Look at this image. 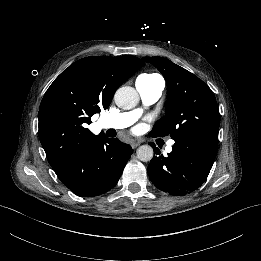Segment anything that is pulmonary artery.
Masks as SVG:
<instances>
[{"mask_svg":"<svg viewBox=\"0 0 261 261\" xmlns=\"http://www.w3.org/2000/svg\"><path fill=\"white\" fill-rule=\"evenodd\" d=\"M136 88L139 92L143 104L149 106L156 103L162 96L164 83L158 82L151 85H137L136 83ZM141 114L142 111L140 109H135L128 112L107 115L103 119L102 125L105 128L125 129L133 124L136 120H138ZM174 143V140L166 141L164 144L165 149L168 151L173 150L175 147Z\"/></svg>","mask_w":261,"mask_h":261,"instance_id":"e3ab8cb5","label":"pulmonary artery"}]
</instances>
